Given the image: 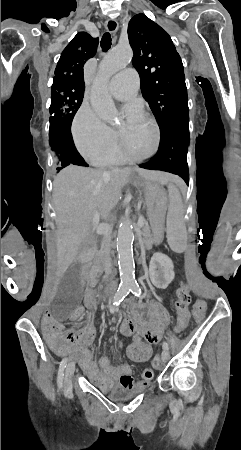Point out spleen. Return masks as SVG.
I'll return each mask as SVG.
<instances>
[{
	"label": "spleen",
	"mask_w": 241,
	"mask_h": 450,
	"mask_svg": "<svg viewBox=\"0 0 241 450\" xmlns=\"http://www.w3.org/2000/svg\"><path fill=\"white\" fill-rule=\"evenodd\" d=\"M170 204V211H183L184 204L182 202L181 194L174 184L168 186ZM183 213L182 212H169L168 213V225L170 228L167 230V238L170 244V252L182 254L186 248L187 239L186 228L183 227Z\"/></svg>",
	"instance_id": "1"
}]
</instances>
